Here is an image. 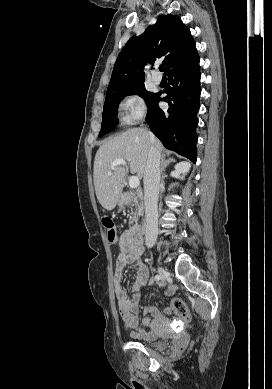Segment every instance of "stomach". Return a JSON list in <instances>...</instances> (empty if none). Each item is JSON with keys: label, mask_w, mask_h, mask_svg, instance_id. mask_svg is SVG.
Wrapping results in <instances>:
<instances>
[{"label": "stomach", "mask_w": 272, "mask_h": 389, "mask_svg": "<svg viewBox=\"0 0 272 389\" xmlns=\"http://www.w3.org/2000/svg\"><path fill=\"white\" fill-rule=\"evenodd\" d=\"M124 204H125V201H124L123 198H121V199L119 200V202H118L119 208H122V207L124 206Z\"/></svg>", "instance_id": "stomach-1"}]
</instances>
